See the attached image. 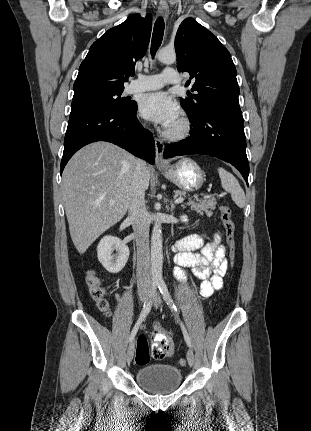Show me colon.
<instances>
[{"label":"colon","instance_id":"1","mask_svg":"<svg viewBox=\"0 0 311 431\" xmlns=\"http://www.w3.org/2000/svg\"><path fill=\"white\" fill-rule=\"evenodd\" d=\"M219 211L229 251V264L232 267L236 261L235 222L232 217L231 208L228 205H221ZM85 281L91 298L102 312L107 313L109 311V303L99 276L94 271H89L86 274ZM174 349L173 342L165 337H155L150 347L146 337L141 335L138 337L136 343L135 362L137 365L147 364L150 360V354L158 359L167 358L173 355ZM178 364L185 366V359H180Z\"/></svg>","mask_w":311,"mask_h":431}]
</instances>
